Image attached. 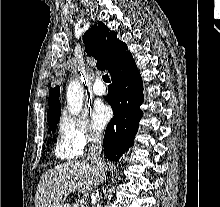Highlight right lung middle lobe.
<instances>
[{"mask_svg":"<svg viewBox=\"0 0 220 207\" xmlns=\"http://www.w3.org/2000/svg\"><path fill=\"white\" fill-rule=\"evenodd\" d=\"M60 115H61V111L57 113L52 119L47 120L49 125L48 133H50L51 131L54 132V130L56 129V125L60 120Z\"/></svg>","mask_w":220,"mask_h":207,"instance_id":"dd1d6c3e","label":"right lung middle lobe"}]
</instances>
